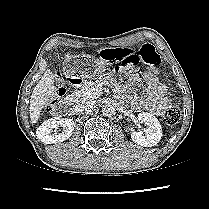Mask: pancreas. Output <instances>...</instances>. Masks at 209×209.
<instances>
[{"label":"pancreas","mask_w":209,"mask_h":209,"mask_svg":"<svg viewBox=\"0 0 209 209\" xmlns=\"http://www.w3.org/2000/svg\"><path fill=\"white\" fill-rule=\"evenodd\" d=\"M98 84L89 81L87 82L83 88L78 92V95L81 97H87V98H98L102 95L101 91H98L96 89Z\"/></svg>","instance_id":"cf45deb5"}]
</instances>
